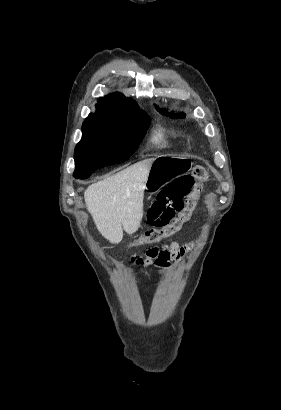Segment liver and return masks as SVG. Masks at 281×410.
<instances>
[{"label":"liver","instance_id":"obj_1","mask_svg":"<svg viewBox=\"0 0 281 410\" xmlns=\"http://www.w3.org/2000/svg\"><path fill=\"white\" fill-rule=\"evenodd\" d=\"M154 159L137 162L120 172L91 184L84 192L87 210L98 231L113 244L135 233L143 218L146 181Z\"/></svg>","mask_w":281,"mask_h":410}]
</instances>
